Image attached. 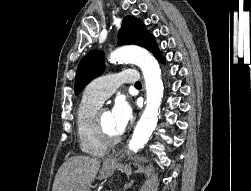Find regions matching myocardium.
<instances>
[{
	"instance_id": "1",
	"label": "myocardium",
	"mask_w": 251,
	"mask_h": 191,
	"mask_svg": "<svg viewBox=\"0 0 251 191\" xmlns=\"http://www.w3.org/2000/svg\"><path fill=\"white\" fill-rule=\"evenodd\" d=\"M101 111H102L101 109H97L95 112V116H94L95 128H96L97 135H98L99 139L106 146L115 145L120 141L121 137L119 135H111L105 130V128L100 120V117H99V114Z\"/></svg>"
}]
</instances>
